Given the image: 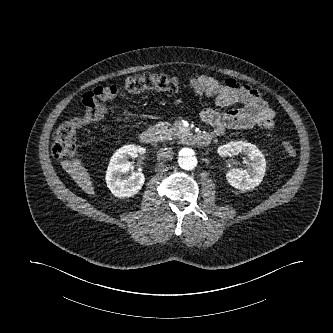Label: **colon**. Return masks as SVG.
<instances>
[{
	"mask_svg": "<svg viewBox=\"0 0 333 333\" xmlns=\"http://www.w3.org/2000/svg\"><path fill=\"white\" fill-rule=\"evenodd\" d=\"M179 82L162 74L146 73L129 77L123 86L124 94H136L147 90L176 91ZM119 91L114 86H98L83 98L84 113L59 123L52 136V154L57 159L71 158L76 149V132L79 128L98 123L106 114L107 103L115 100ZM286 157L294 158L297 149L290 141L282 142Z\"/></svg>",
	"mask_w": 333,
	"mask_h": 333,
	"instance_id": "1",
	"label": "colon"
}]
</instances>
